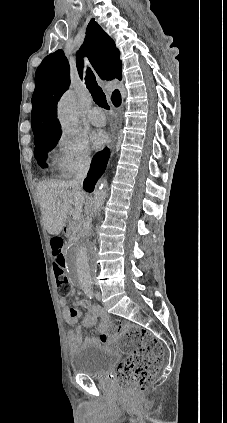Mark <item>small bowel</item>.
<instances>
[{
    "mask_svg": "<svg viewBox=\"0 0 227 423\" xmlns=\"http://www.w3.org/2000/svg\"><path fill=\"white\" fill-rule=\"evenodd\" d=\"M73 292V291H71ZM60 304L63 307V318L69 325H75L78 319L82 316V312L77 308H70L67 306L66 298L61 297ZM80 307L87 310V313L83 317L82 325L87 329L93 328L98 323V328L100 330L99 340L94 338H87L86 343H107L109 341V336L107 334L108 326V315L103 307L98 304H92L88 300H80L77 303ZM82 328L77 326L74 330L68 332L69 345L71 350H75L81 341Z\"/></svg>",
    "mask_w": 227,
    "mask_h": 423,
    "instance_id": "obj_1",
    "label": "small bowel"
}]
</instances>
